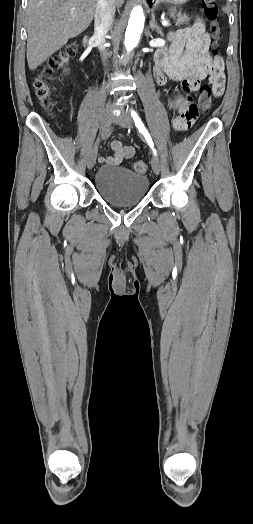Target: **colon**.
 I'll return each instance as SVG.
<instances>
[{
    "label": "colon",
    "mask_w": 253,
    "mask_h": 524,
    "mask_svg": "<svg viewBox=\"0 0 253 524\" xmlns=\"http://www.w3.org/2000/svg\"><path fill=\"white\" fill-rule=\"evenodd\" d=\"M202 6V13L205 19L210 24L211 33L213 36V49L214 52H218L220 45V28L218 24V7L215 0H200ZM75 54V46H68L63 51L59 52L54 58L50 59L47 64L43 67L42 71L35 78L33 87L35 93L40 101V104L49 108L52 104V87L46 81V77L50 75L53 70L67 57ZM212 90L209 87H201L198 91L197 101L199 109H205L209 107L212 101ZM134 169L138 173H144L147 170V165L143 161H137L134 164Z\"/></svg>",
    "instance_id": "1"
}]
</instances>
